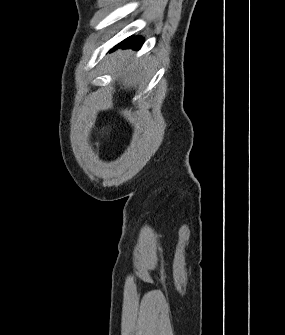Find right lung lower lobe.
Wrapping results in <instances>:
<instances>
[{"label": "right lung lower lobe", "mask_w": 285, "mask_h": 335, "mask_svg": "<svg viewBox=\"0 0 285 335\" xmlns=\"http://www.w3.org/2000/svg\"><path fill=\"white\" fill-rule=\"evenodd\" d=\"M143 44V40L140 37H129L119 43L117 46H115L111 51H114L117 48H133V49H139L141 45Z\"/></svg>", "instance_id": "1"}]
</instances>
